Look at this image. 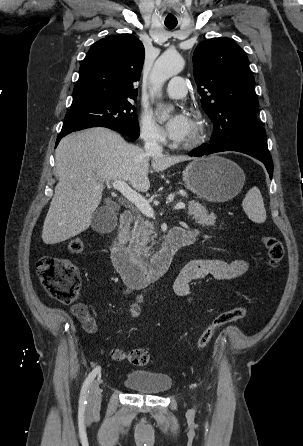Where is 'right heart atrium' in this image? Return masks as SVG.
<instances>
[{"label": "right heart atrium", "instance_id": "obj_1", "mask_svg": "<svg viewBox=\"0 0 303 446\" xmlns=\"http://www.w3.org/2000/svg\"><path fill=\"white\" fill-rule=\"evenodd\" d=\"M140 136L148 145H161L165 141L161 128L149 113H143L141 116Z\"/></svg>", "mask_w": 303, "mask_h": 446}]
</instances>
